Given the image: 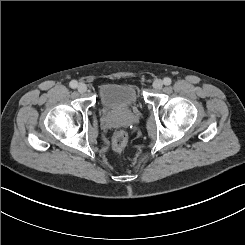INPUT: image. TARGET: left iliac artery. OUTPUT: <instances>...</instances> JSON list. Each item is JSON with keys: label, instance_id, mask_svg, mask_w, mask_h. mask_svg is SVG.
I'll return each instance as SVG.
<instances>
[{"label": "left iliac artery", "instance_id": "left-iliac-artery-1", "mask_svg": "<svg viewBox=\"0 0 245 245\" xmlns=\"http://www.w3.org/2000/svg\"><path fill=\"white\" fill-rule=\"evenodd\" d=\"M171 82H172L171 79L168 78V77L164 78V80H163V83H164L165 85H170Z\"/></svg>", "mask_w": 245, "mask_h": 245}]
</instances>
